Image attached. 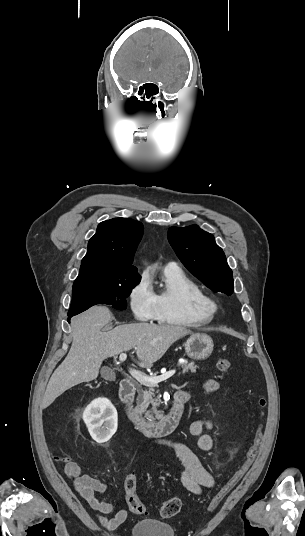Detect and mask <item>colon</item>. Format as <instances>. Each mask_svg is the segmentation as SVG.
I'll use <instances>...</instances> for the list:
<instances>
[{
    "instance_id": "5ec220e1",
    "label": "colon",
    "mask_w": 305,
    "mask_h": 536,
    "mask_svg": "<svg viewBox=\"0 0 305 536\" xmlns=\"http://www.w3.org/2000/svg\"><path fill=\"white\" fill-rule=\"evenodd\" d=\"M216 367L221 372H228L231 367V362L228 358H221L217 361ZM266 406V399L260 397L258 399V407L263 410ZM262 440V424H259L255 432L252 444L248 449L245 459L239 469L233 474V476L221 487L220 490L214 495L210 503V510L216 509L226 495L239 483V481L244 477L248 469L250 468L254 457L256 455L257 449L260 446ZM125 501L128 507L137 514L147 513V507L139 499L137 494L136 487V477L134 474L129 473L125 477ZM181 507V502L177 497H172L162 503L159 512L162 518L169 519L176 515Z\"/></svg>"
}]
</instances>
